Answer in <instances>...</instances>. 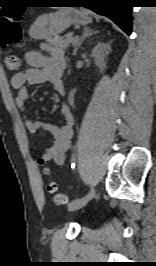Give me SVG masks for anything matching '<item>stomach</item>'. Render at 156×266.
<instances>
[{
    "instance_id": "1",
    "label": "stomach",
    "mask_w": 156,
    "mask_h": 266,
    "mask_svg": "<svg viewBox=\"0 0 156 266\" xmlns=\"http://www.w3.org/2000/svg\"><path fill=\"white\" fill-rule=\"evenodd\" d=\"M92 18L86 10L63 7L55 13L39 16L30 29V36L46 40L65 31L72 24L87 25Z\"/></svg>"
}]
</instances>
